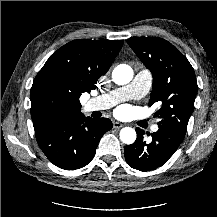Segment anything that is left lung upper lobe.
I'll return each mask as SVG.
<instances>
[{
    "mask_svg": "<svg viewBox=\"0 0 217 217\" xmlns=\"http://www.w3.org/2000/svg\"><path fill=\"white\" fill-rule=\"evenodd\" d=\"M127 43L152 73L149 106L161 103L155 113L161 119L158 125L185 134L198 89L191 64L176 47L162 38L136 37L128 39Z\"/></svg>",
    "mask_w": 217,
    "mask_h": 217,
    "instance_id": "left-lung-upper-lobe-1",
    "label": "left lung upper lobe"
}]
</instances>
